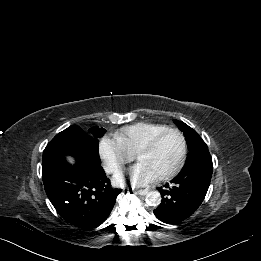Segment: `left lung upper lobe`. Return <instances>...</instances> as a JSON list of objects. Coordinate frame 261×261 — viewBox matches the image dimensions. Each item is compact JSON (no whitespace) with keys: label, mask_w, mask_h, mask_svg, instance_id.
Here are the masks:
<instances>
[{"label":"left lung upper lobe","mask_w":261,"mask_h":261,"mask_svg":"<svg viewBox=\"0 0 261 261\" xmlns=\"http://www.w3.org/2000/svg\"><path fill=\"white\" fill-rule=\"evenodd\" d=\"M175 123L178 126V128L183 132L187 142V146L189 149V153L187 155V159L185 162V165H187L191 162L192 158L196 154L208 148L206 143L203 141V139L198 135V133L195 130H193L183 121L180 122L178 120H175Z\"/></svg>","instance_id":"1"}]
</instances>
